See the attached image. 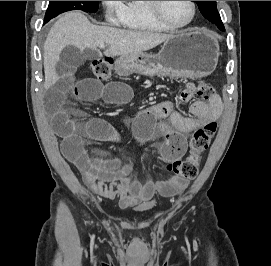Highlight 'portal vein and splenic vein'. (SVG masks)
Segmentation results:
<instances>
[{"instance_id":"obj_1","label":"portal vein and splenic vein","mask_w":271,"mask_h":266,"mask_svg":"<svg viewBox=\"0 0 271 266\" xmlns=\"http://www.w3.org/2000/svg\"><path fill=\"white\" fill-rule=\"evenodd\" d=\"M99 47H100V48H105L106 45L102 44V45H100Z\"/></svg>"}]
</instances>
